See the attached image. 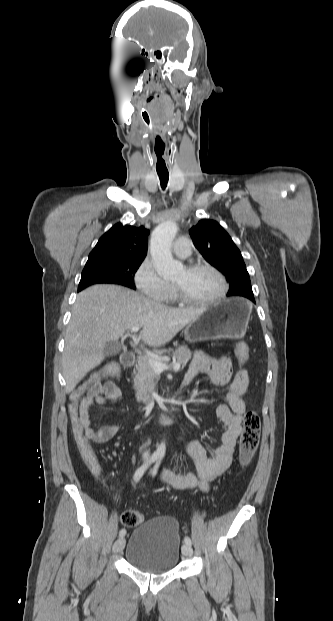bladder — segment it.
Returning a JSON list of instances; mask_svg holds the SVG:
<instances>
[{"label":"bladder","mask_w":333,"mask_h":621,"mask_svg":"<svg viewBox=\"0 0 333 621\" xmlns=\"http://www.w3.org/2000/svg\"><path fill=\"white\" fill-rule=\"evenodd\" d=\"M180 553L181 535L177 520L170 516H156L132 531L125 558L138 570L166 573L175 568Z\"/></svg>","instance_id":"1"}]
</instances>
